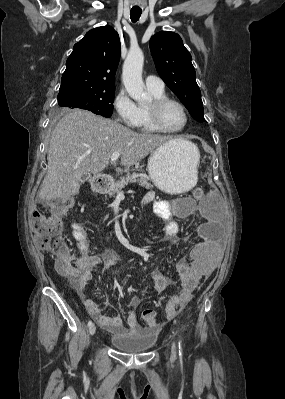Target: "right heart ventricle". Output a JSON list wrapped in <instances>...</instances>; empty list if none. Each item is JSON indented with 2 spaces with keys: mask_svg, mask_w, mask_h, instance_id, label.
I'll list each match as a JSON object with an SVG mask.
<instances>
[{
  "mask_svg": "<svg viewBox=\"0 0 285 399\" xmlns=\"http://www.w3.org/2000/svg\"><path fill=\"white\" fill-rule=\"evenodd\" d=\"M149 92H150L151 96L153 97V99H158V98L166 96L164 89L149 90ZM137 127L141 131H144V132H162L160 130H157L151 123L147 106H138Z\"/></svg>",
  "mask_w": 285,
  "mask_h": 399,
  "instance_id": "e07e8e85",
  "label": "right heart ventricle"
}]
</instances>
